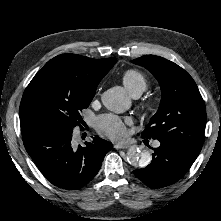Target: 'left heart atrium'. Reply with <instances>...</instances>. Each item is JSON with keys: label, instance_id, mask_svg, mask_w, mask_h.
<instances>
[{"label": "left heart atrium", "instance_id": "obj_1", "mask_svg": "<svg viewBox=\"0 0 221 221\" xmlns=\"http://www.w3.org/2000/svg\"><path fill=\"white\" fill-rule=\"evenodd\" d=\"M130 120L116 115L106 114L97 118V129L113 140H122L127 136V125Z\"/></svg>", "mask_w": 221, "mask_h": 221}]
</instances>
